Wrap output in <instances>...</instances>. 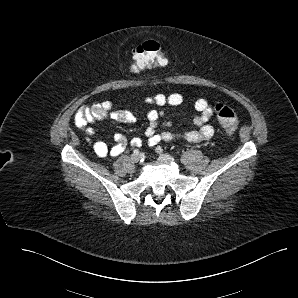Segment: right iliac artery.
<instances>
[{"label": "right iliac artery", "mask_w": 298, "mask_h": 298, "mask_svg": "<svg viewBox=\"0 0 298 298\" xmlns=\"http://www.w3.org/2000/svg\"><path fill=\"white\" fill-rule=\"evenodd\" d=\"M134 154L138 155L139 154V150L138 149H135L134 150Z\"/></svg>", "instance_id": "1"}]
</instances>
